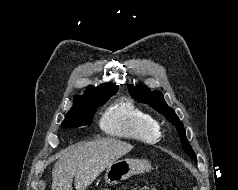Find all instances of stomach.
Wrapping results in <instances>:
<instances>
[{
    "instance_id": "1",
    "label": "stomach",
    "mask_w": 238,
    "mask_h": 190,
    "mask_svg": "<svg viewBox=\"0 0 238 190\" xmlns=\"http://www.w3.org/2000/svg\"><path fill=\"white\" fill-rule=\"evenodd\" d=\"M151 165L144 159H120L109 165L105 174V181L109 185H116L135 174L150 170Z\"/></svg>"
}]
</instances>
